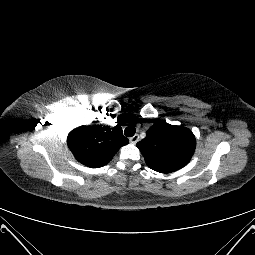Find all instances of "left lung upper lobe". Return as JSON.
<instances>
[{
  "label": "left lung upper lobe",
  "mask_w": 255,
  "mask_h": 255,
  "mask_svg": "<svg viewBox=\"0 0 255 255\" xmlns=\"http://www.w3.org/2000/svg\"><path fill=\"white\" fill-rule=\"evenodd\" d=\"M137 147L151 169L169 173L190 161L196 140L189 129L159 120L147 130L146 137L137 143Z\"/></svg>",
  "instance_id": "5c2ea615"
}]
</instances>
